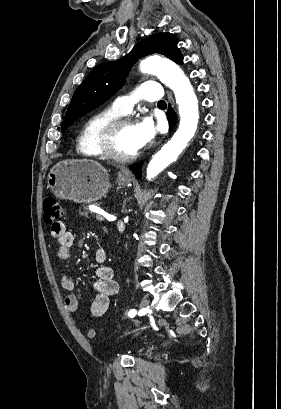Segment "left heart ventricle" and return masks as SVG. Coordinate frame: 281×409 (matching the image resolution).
<instances>
[{"label":"left heart ventricle","instance_id":"obj_1","mask_svg":"<svg viewBox=\"0 0 281 409\" xmlns=\"http://www.w3.org/2000/svg\"><path fill=\"white\" fill-rule=\"evenodd\" d=\"M113 149L120 154H130L138 151L140 146L137 140L135 126H122L112 139Z\"/></svg>","mask_w":281,"mask_h":409}]
</instances>
